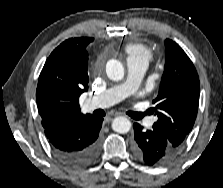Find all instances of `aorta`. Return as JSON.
<instances>
[{
    "instance_id": "1",
    "label": "aorta",
    "mask_w": 223,
    "mask_h": 188,
    "mask_svg": "<svg viewBox=\"0 0 223 188\" xmlns=\"http://www.w3.org/2000/svg\"><path fill=\"white\" fill-rule=\"evenodd\" d=\"M106 73L109 79L120 81L125 76V68L120 61L111 59L106 64ZM112 129L117 133H127L131 129V122L124 116L116 117L112 122Z\"/></svg>"
}]
</instances>
